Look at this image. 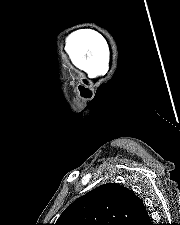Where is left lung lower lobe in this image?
Returning <instances> with one entry per match:
<instances>
[{
  "mask_svg": "<svg viewBox=\"0 0 180 225\" xmlns=\"http://www.w3.org/2000/svg\"><path fill=\"white\" fill-rule=\"evenodd\" d=\"M128 225H152L148 213L145 210L142 214L133 219Z\"/></svg>",
  "mask_w": 180,
  "mask_h": 225,
  "instance_id": "1",
  "label": "left lung lower lobe"
}]
</instances>
